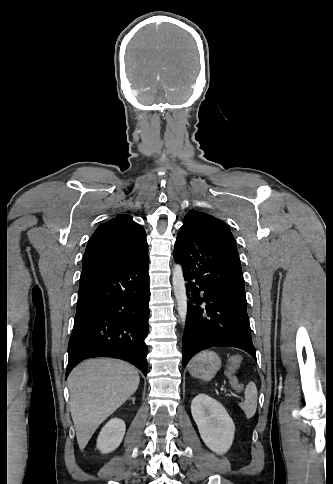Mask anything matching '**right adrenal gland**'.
<instances>
[{"label": "right adrenal gland", "mask_w": 333, "mask_h": 484, "mask_svg": "<svg viewBox=\"0 0 333 484\" xmlns=\"http://www.w3.org/2000/svg\"><path fill=\"white\" fill-rule=\"evenodd\" d=\"M132 400H133V403H134V401H135V398H132Z\"/></svg>", "instance_id": "obj_1"}]
</instances>
